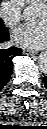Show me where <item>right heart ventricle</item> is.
I'll use <instances>...</instances> for the list:
<instances>
[{"label": "right heart ventricle", "instance_id": "right-heart-ventricle-1", "mask_svg": "<svg viewBox=\"0 0 47 129\" xmlns=\"http://www.w3.org/2000/svg\"><path fill=\"white\" fill-rule=\"evenodd\" d=\"M44 0H22L24 5H28V6H35V5H39L43 2Z\"/></svg>", "mask_w": 47, "mask_h": 129}]
</instances>
